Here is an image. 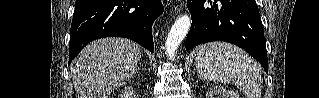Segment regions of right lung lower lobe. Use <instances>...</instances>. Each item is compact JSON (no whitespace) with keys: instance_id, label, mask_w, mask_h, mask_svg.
I'll return each instance as SVG.
<instances>
[{"instance_id":"98d812e1","label":"right lung lower lobe","mask_w":319,"mask_h":98,"mask_svg":"<svg viewBox=\"0 0 319 98\" xmlns=\"http://www.w3.org/2000/svg\"><path fill=\"white\" fill-rule=\"evenodd\" d=\"M162 12L160 0H76L69 64L89 42L109 36L129 38L153 52L151 27Z\"/></svg>"}]
</instances>
